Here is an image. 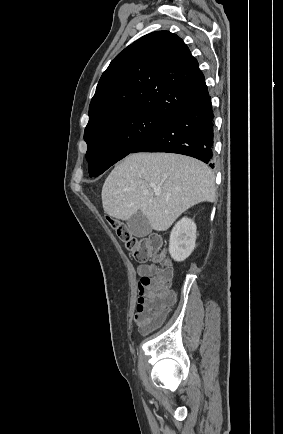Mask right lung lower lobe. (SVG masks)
I'll list each match as a JSON object with an SVG mask.
<instances>
[{"label": "right lung lower lobe", "instance_id": "right-lung-lower-lobe-1", "mask_svg": "<svg viewBox=\"0 0 283 434\" xmlns=\"http://www.w3.org/2000/svg\"><path fill=\"white\" fill-rule=\"evenodd\" d=\"M214 115L209 95L169 118L141 142L135 152H170L197 158L210 167L213 158Z\"/></svg>", "mask_w": 283, "mask_h": 434}]
</instances>
